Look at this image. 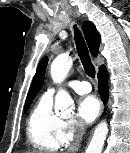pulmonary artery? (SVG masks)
I'll list each match as a JSON object with an SVG mask.
<instances>
[{
	"label": "pulmonary artery",
	"mask_w": 130,
	"mask_h": 153,
	"mask_svg": "<svg viewBox=\"0 0 130 153\" xmlns=\"http://www.w3.org/2000/svg\"><path fill=\"white\" fill-rule=\"evenodd\" d=\"M67 86L79 94H86L91 91V86L86 81L72 80L67 83ZM47 92L52 95L55 93V88L50 87Z\"/></svg>",
	"instance_id": "pulmonary-artery-1"
}]
</instances>
